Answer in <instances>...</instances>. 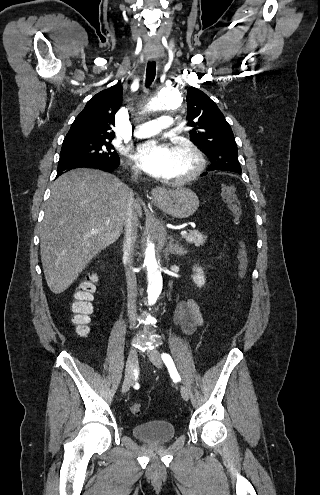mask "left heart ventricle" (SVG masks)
<instances>
[{
    "instance_id": "obj_1",
    "label": "left heart ventricle",
    "mask_w": 320,
    "mask_h": 495,
    "mask_svg": "<svg viewBox=\"0 0 320 495\" xmlns=\"http://www.w3.org/2000/svg\"><path fill=\"white\" fill-rule=\"evenodd\" d=\"M171 149L174 156L172 178H177L186 173L191 168L192 161L190 156L184 150L173 147Z\"/></svg>"
}]
</instances>
